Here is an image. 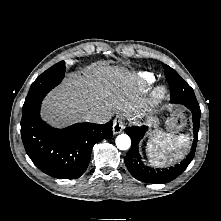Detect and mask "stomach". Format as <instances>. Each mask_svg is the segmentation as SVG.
<instances>
[{
    "label": "stomach",
    "instance_id": "1",
    "mask_svg": "<svg viewBox=\"0 0 221 221\" xmlns=\"http://www.w3.org/2000/svg\"><path fill=\"white\" fill-rule=\"evenodd\" d=\"M152 124L155 126V125H156V121H155V120H153V121H152Z\"/></svg>",
    "mask_w": 221,
    "mask_h": 221
}]
</instances>
